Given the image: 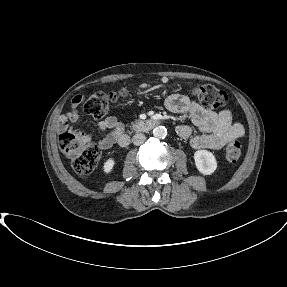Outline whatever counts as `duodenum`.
Segmentation results:
<instances>
[{"label": "duodenum", "mask_w": 287, "mask_h": 287, "mask_svg": "<svg viewBox=\"0 0 287 287\" xmlns=\"http://www.w3.org/2000/svg\"><path fill=\"white\" fill-rule=\"evenodd\" d=\"M160 119L158 117H151L145 120H140L133 125V131L136 133H143L151 131L155 128ZM130 142V136L127 133H122L118 138V144L121 147H126Z\"/></svg>", "instance_id": "duodenum-1"}]
</instances>
